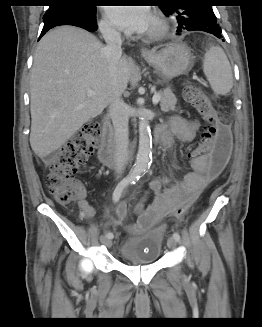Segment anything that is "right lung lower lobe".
Masks as SVG:
<instances>
[{
  "instance_id": "98d812e1",
  "label": "right lung lower lobe",
  "mask_w": 262,
  "mask_h": 327,
  "mask_svg": "<svg viewBox=\"0 0 262 327\" xmlns=\"http://www.w3.org/2000/svg\"><path fill=\"white\" fill-rule=\"evenodd\" d=\"M44 26L40 38L51 28L73 25L94 32L97 30L96 12L86 13L68 7H50L43 16Z\"/></svg>"
}]
</instances>
